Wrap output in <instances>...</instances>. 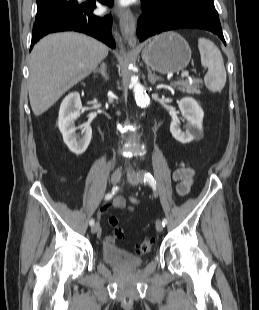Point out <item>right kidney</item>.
<instances>
[{
	"instance_id": "right-kidney-1",
	"label": "right kidney",
	"mask_w": 259,
	"mask_h": 310,
	"mask_svg": "<svg viewBox=\"0 0 259 310\" xmlns=\"http://www.w3.org/2000/svg\"><path fill=\"white\" fill-rule=\"evenodd\" d=\"M81 109L82 103L79 93L72 92L62 101L58 118V127L62 133L64 143L76 155H81L86 151L92 137L91 127L85 125L82 130V137L77 138L75 120L80 116Z\"/></svg>"
}]
</instances>
